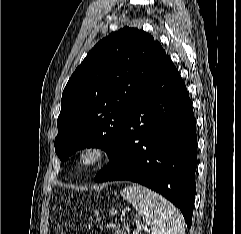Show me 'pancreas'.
<instances>
[{"label": "pancreas", "instance_id": "cf45deb5", "mask_svg": "<svg viewBox=\"0 0 241 234\" xmlns=\"http://www.w3.org/2000/svg\"><path fill=\"white\" fill-rule=\"evenodd\" d=\"M113 234H124V233L120 230H116Z\"/></svg>", "mask_w": 241, "mask_h": 234}]
</instances>
